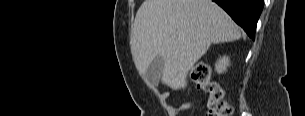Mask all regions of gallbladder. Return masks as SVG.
Returning <instances> with one entry per match:
<instances>
[{
	"label": "gallbladder",
	"instance_id": "gallbladder-1",
	"mask_svg": "<svg viewBox=\"0 0 305 116\" xmlns=\"http://www.w3.org/2000/svg\"><path fill=\"white\" fill-rule=\"evenodd\" d=\"M164 69V61L161 56H156L144 73L145 79L152 85H158Z\"/></svg>",
	"mask_w": 305,
	"mask_h": 116
}]
</instances>
